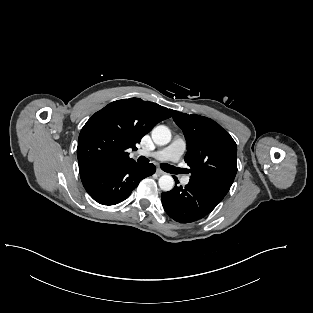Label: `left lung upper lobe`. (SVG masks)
Returning <instances> with one entry per match:
<instances>
[{"mask_svg":"<svg viewBox=\"0 0 313 313\" xmlns=\"http://www.w3.org/2000/svg\"><path fill=\"white\" fill-rule=\"evenodd\" d=\"M172 111L182 129L190 167V183L226 195L237 172V145L230 134L215 121L196 114Z\"/></svg>","mask_w":313,"mask_h":313,"instance_id":"1","label":"left lung upper lobe"}]
</instances>
